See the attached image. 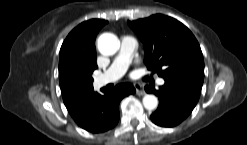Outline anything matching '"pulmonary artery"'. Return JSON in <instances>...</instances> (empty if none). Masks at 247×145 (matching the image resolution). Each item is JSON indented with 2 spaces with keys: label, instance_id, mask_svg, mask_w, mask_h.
<instances>
[{
  "label": "pulmonary artery",
  "instance_id": "e3ab8cb5",
  "mask_svg": "<svg viewBox=\"0 0 247 145\" xmlns=\"http://www.w3.org/2000/svg\"><path fill=\"white\" fill-rule=\"evenodd\" d=\"M138 47V43L132 36L126 35L121 38L120 51L112 65L108 70L96 77L95 83L103 86L108 83L115 82L126 72L128 63L130 62L134 52ZM164 79H158V84L163 85Z\"/></svg>",
  "mask_w": 247,
  "mask_h": 145
}]
</instances>
